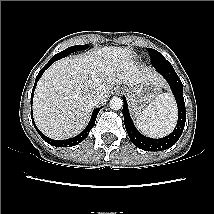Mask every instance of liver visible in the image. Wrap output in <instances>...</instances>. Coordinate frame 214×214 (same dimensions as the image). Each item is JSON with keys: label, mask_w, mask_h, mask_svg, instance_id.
<instances>
[{"label": "liver", "mask_w": 214, "mask_h": 214, "mask_svg": "<svg viewBox=\"0 0 214 214\" xmlns=\"http://www.w3.org/2000/svg\"><path fill=\"white\" fill-rule=\"evenodd\" d=\"M161 78L135 64L128 48L103 47L56 61L39 80L33 99L37 127L53 139L79 134L95 106L87 95L94 90L108 95L114 85L133 87ZM162 83V82H161Z\"/></svg>", "instance_id": "liver-1"}]
</instances>
